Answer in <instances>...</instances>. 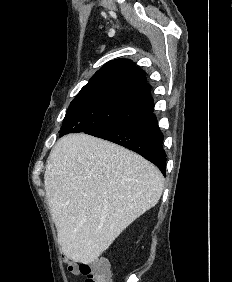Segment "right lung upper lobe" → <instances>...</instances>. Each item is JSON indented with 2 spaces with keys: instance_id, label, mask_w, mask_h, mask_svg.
I'll return each mask as SVG.
<instances>
[{
  "instance_id": "right-lung-upper-lobe-1",
  "label": "right lung upper lobe",
  "mask_w": 232,
  "mask_h": 282,
  "mask_svg": "<svg viewBox=\"0 0 232 282\" xmlns=\"http://www.w3.org/2000/svg\"><path fill=\"white\" fill-rule=\"evenodd\" d=\"M150 89L145 71L136 67L129 59H115L98 70L77 96L109 90L137 91L148 95L153 101Z\"/></svg>"
}]
</instances>
